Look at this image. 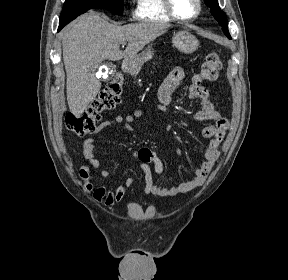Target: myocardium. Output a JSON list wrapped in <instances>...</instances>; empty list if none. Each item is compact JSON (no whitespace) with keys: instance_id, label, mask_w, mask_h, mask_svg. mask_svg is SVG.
<instances>
[{"instance_id":"myocardium-1","label":"myocardium","mask_w":288,"mask_h":280,"mask_svg":"<svg viewBox=\"0 0 288 280\" xmlns=\"http://www.w3.org/2000/svg\"><path fill=\"white\" fill-rule=\"evenodd\" d=\"M196 2H197V11L192 17H189V18H181L176 14L173 8L172 0H163V6H164L166 13L169 15V17L172 20L182 22V23H188V22H192L196 20L202 12V8H203L202 0H196Z\"/></svg>"}]
</instances>
